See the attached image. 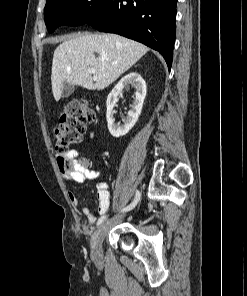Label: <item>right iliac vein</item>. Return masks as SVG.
I'll return each mask as SVG.
<instances>
[{"instance_id":"1","label":"right iliac vein","mask_w":247,"mask_h":296,"mask_svg":"<svg viewBox=\"0 0 247 296\" xmlns=\"http://www.w3.org/2000/svg\"><path fill=\"white\" fill-rule=\"evenodd\" d=\"M108 225L109 221L102 223L91 239V255L94 259H99L102 256V241L107 232Z\"/></svg>"}]
</instances>
